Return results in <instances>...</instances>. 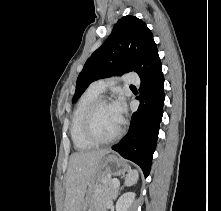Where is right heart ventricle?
<instances>
[{
  "label": "right heart ventricle",
  "mask_w": 221,
  "mask_h": 211,
  "mask_svg": "<svg viewBox=\"0 0 221 211\" xmlns=\"http://www.w3.org/2000/svg\"><path fill=\"white\" fill-rule=\"evenodd\" d=\"M100 94L94 88L89 87L82 94L73 111L70 132L74 147L77 150H87L95 145L88 141L83 134V119L89 106L100 97Z\"/></svg>",
  "instance_id": "1"
}]
</instances>
